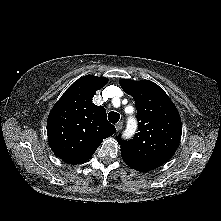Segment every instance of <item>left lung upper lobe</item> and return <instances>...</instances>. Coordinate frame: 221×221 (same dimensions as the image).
Returning <instances> with one entry per match:
<instances>
[{
    "instance_id": "obj_1",
    "label": "left lung upper lobe",
    "mask_w": 221,
    "mask_h": 221,
    "mask_svg": "<svg viewBox=\"0 0 221 221\" xmlns=\"http://www.w3.org/2000/svg\"><path fill=\"white\" fill-rule=\"evenodd\" d=\"M122 89L131 95L137 108L139 132L121 145L123 160L130 167L146 172L168 161L178 148L182 133L181 118L168 95L149 80L122 79Z\"/></svg>"
}]
</instances>
